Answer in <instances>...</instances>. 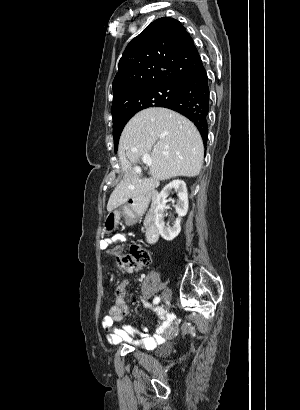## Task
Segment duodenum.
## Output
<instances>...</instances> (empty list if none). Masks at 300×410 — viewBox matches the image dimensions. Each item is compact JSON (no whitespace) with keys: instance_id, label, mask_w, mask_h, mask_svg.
Returning <instances> with one entry per match:
<instances>
[{"instance_id":"obj_1","label":"duodenum","mask_w":300,"mask_h":410,"mask_svg":"<svg viewBox=\"0 0 300 410\" xmlns=\"http://www.w3.org/2000/svg\"><path fill=\"white\" fill-rule=\"evenodd\" d=\"M148 201V204L145 202ZM157 192L146 196L144 199L135 198L132 201L133 212L135 214L145 213L144 236L149 244H154L159 238V229L156 221ZM131 218V217H130ZM132 220V219H131Z\"/></svg>"}]
</instances>
